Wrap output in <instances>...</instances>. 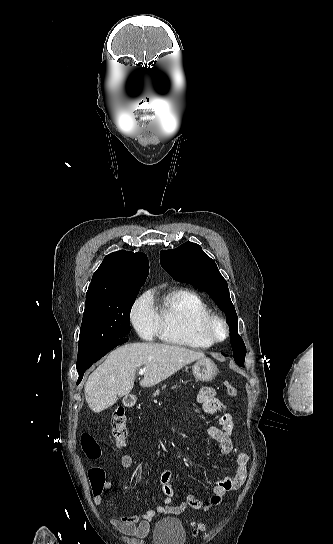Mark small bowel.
I'll return each mask as SVG.
<instances>
[{
  "label": "small bowel",
  "mask_w": 333,
  "mask_h": 544,
  "mask_svg": "<svg viewBox=\"0 0 333 544\" xmlns=\"http://www.w3.org/2000/svg\"><path fill=\"white\" fill-rule=\"evenodd\" d=\"M200 411L207 415L222 413L219 420V426H211L207 430L208 436L218 445L220 451L224 455L236 454V467L233 474L220 479L213 488V493L206 501L198 499L196 496L189 494L180 504L174 505L175 496L174 488L171 484L172 472L163 470L160 475L162 492L164 494L163 504L154 509H148L139 515H118L110 520L111 524L121 533L143 538L147 535L150 522L157 514L162 515H178L187 507L194 510L206 512L221 503L223 497L233 490L241 487L248 473L249 457L245 452L238 450L232 440L234 429L233 417L226 411V406L216 396L214 389L202 387L196 397ZM119 464L124 469H129L133 465V459L130 455L125 454L120 458ZM111 484L106 482L103 489L99 492H94V503L99 506L103 502L104 496L110 491ZM114 511L113 508H110Z\"/></svg>",
  "instance_id": "c3829d8e"
}]
</instances>
